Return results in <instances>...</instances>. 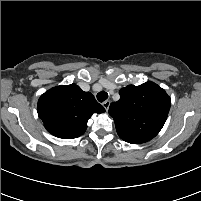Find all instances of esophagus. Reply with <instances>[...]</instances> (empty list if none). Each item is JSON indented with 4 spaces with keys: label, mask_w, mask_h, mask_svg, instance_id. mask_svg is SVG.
Instances as JSON below:
<instances>
[{
    "label": "esophagus",
    "mask_w": 201,
    "mask_h": 201,
    "mask_svg": "<svg viewBox=\"0 0 201 201\" xmlns=\"http://www.w3.org/2000/svg\"><path fill=\"white\" fill-rule=\"evenodd\" d=\"M103 107L105 108L106 111H108L109 107H110V101L106 100L103 102Z\"/></svg>",
    "instance_id": "1"
}]
</instances>
